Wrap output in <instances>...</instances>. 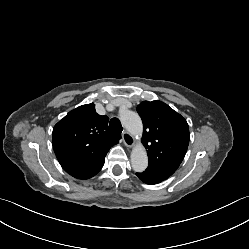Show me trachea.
<instances>
[{
  "label": "trachea",
  "mask_w": 249,
  "mask_h": 249,
  "mask_svg": "<svg viewBox=\"0 0 249 249\" xmlns=\"http://www.w3.org/2000/svg\"><path fill=\"white\" fill-rule=\"evenodd\" d=\"M109 126L111 127L112 130H114L117 133H121L123 131V127L117 118H112L110 120Z\"/></svg>",
  "instance_id": "trachea-1"
}]
</instances>
